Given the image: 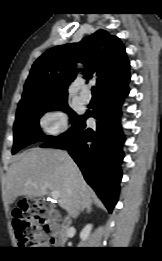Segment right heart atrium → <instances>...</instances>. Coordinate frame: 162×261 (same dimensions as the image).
Segmentation results:
<instances>
[{"label":"right heart atrium","instance_id":"1","mask_svg":"<svg viewBox=\"0 0 162 261\" xmlns=\"http://www.w3.org/2000/svg\"><path fill=\"white\" fill-rule=\"evenodd\" d=\"M42 126L49 134H60L68 127V116L62 109L51 110L43 117Z\"/></svg>","mask_w":162,"mask_h":261}]
</instances>
